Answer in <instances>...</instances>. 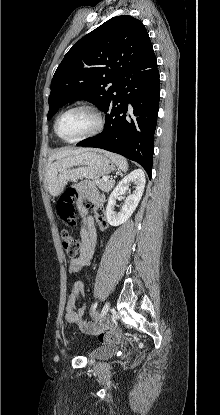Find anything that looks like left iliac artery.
Returning <instances> with one entry per match:
<instances>
[{
    "mask_svg": "<svg viewBox=\"0 0 220 415\" xmlns=\"http://www.w3.org/2000/svg\"><path fill=\"white\" fill-rule=\"evenodd\" d=\"M96 308H97V302H95V303L91 306V309H90L91 314H93V313L95 312ZM105 313H106V312L102 309L100 316H101V317H102V316H104V314H105Z\"/></svg>",
    "mask_w": 220,
    "mask_h": 415,
    "instance_id": "left-iliac-artery-1",
    "label": "left iliac artery"
}]
</instances>
